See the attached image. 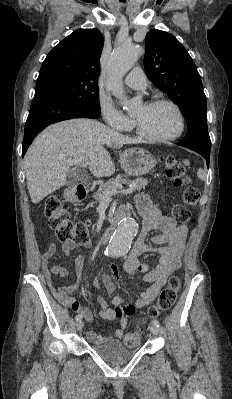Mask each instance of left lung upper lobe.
Segmentation results:
<instances>
[{"label":"left lung upper lobe","mask_w":232,"mask_h":399,"mask_svg":"<svg viewBox=\"0 0 232 399\" xmlns=\"http://www.w3.org/2000/svg\"><path fill=\"white\" fill-rule=\"evenodd\" d=\"M144 67L148 79L176 103L188 125L180 146L210 152L206 96L196 65L171 34L151 30L146 35Z\"/></svg>","instance_id":"obj_1"}]
</instances>
